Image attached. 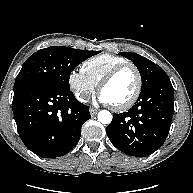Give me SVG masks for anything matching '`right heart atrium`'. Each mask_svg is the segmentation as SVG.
Masks as SVG:
<instances>
[{"instance_id": "1", "label": "right heart atrium", "mask_w": 193, "mask_h": 193, "mask_svg": "<svg viewBox=\"0 0 193 193\" xmlns=\"http://www.w3.org/2000/svg\"><path fill=\"white\" fill-rule=\"evenodd\" d=\"M68 86L75 98L85 103L95 92V85L84 75L82 71L72 70L68 75Z\"/></svg>"}]
</instances>
